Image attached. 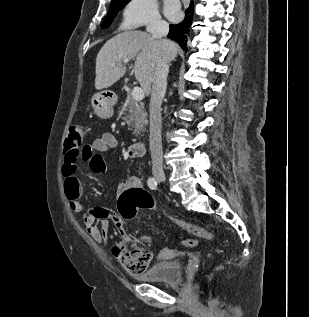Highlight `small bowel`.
Wrapping results in <instances>:
<instances>
[{
  "label": "small bowel",
  "instance_id": "small-bowel-1",
  "mask_svg": "<svg viewBox=\"0 0 309 317\" xmlns=\"http://www.w3.org/2000/svg\"><path fill=\"white\" fill-rule=\"evenodd\" d=\"M88 147L89 150L82 156V159L88 163V167L93 173L104 174L106 163L103 154L118 147L117 138L112 133H105ZM62 175L64 178V192L69 206L73 212L82 214V224L88 235L96 243H103L106 246L109 244L108 220H112L122 234L125 233L124 220L116 212L104 207L87 208L81 201L83 189L77 176L76 161L67 162L65 159ZM134 188L144 189L142 179L137 176H131L120 183L118 192L121 195L126 190Z\"/></svg>",
  "mask_w": 309,
  "mask_h": 317
}]
</instances>
